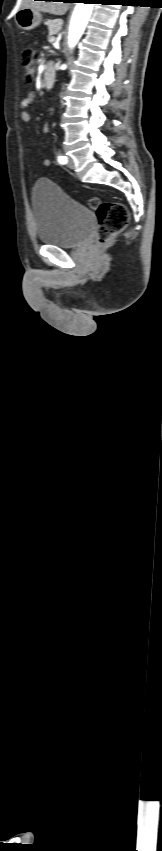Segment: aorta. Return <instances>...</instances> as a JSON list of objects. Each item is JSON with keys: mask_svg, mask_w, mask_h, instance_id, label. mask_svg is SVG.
<instances>
[{"mask_svg": "<svg viewBox=\"0 0 162 851\" xmlns=\"http://www.w3.org/2000/svg\"><path fill=\"white\" fill-rule=\"evenodd\" d=\"M93 5L91 3L76 4L71 17L68 35V44L71 49L76 46L85 30L93 10Z\"/></svg>", "mask_w": 162, "mask_h": 851, "instance_id": "aorta-1", "label": "aorta"}]
</instances>
